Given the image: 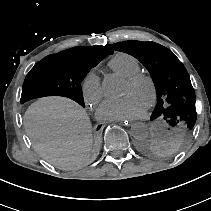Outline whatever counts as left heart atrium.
I'll use <instances>...</instances> for the list:
<instances>
[{"label": "left heart atrium", "mask_w": 211, "mask_h": 211, "mask_svg": "<svg viewBox=\"0 0 211 211\" xmlns=\"http://www.w3.org/2000/svg\"><path fill=\"white\" fill-rule=\"evenodd\" d=\"M145 113V105L132 94L121 98L105 100L97 110V117L103 121L136 119Z\"/></svg>", "instance_id": "obj_1"}]
</instances>
